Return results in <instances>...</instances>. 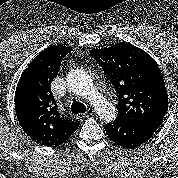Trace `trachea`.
<instances>
[{
  "label": "trachea",
  "instance_id": "obj_1",
  "mask_svg": "<svg viewBox=\"0 0 178 178\" xmlns=\"http://www.w3.org/2000/svg\"><path fill=\"white\" fill-rule=\"evenodd\" d=\"M71 112H72V114L85 113L86 112V106L81 102L75 101L71 105Z\"/></svg>",
  "mask_w": 178,
  "mask_h": 178
}]
</instances>
